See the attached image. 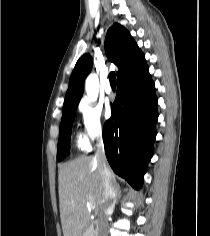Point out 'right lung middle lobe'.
Listing matches in <instances>:
<instances>
[{
  "mask_svg": "<svg viewBox=\"0 0 210 236\" xmlns=\"http://www.w3.org/2000/svg\"><path fill=\"white\" fill-rule=\"evenodd\" d=\"M75 110H67L62 114L61 126H60V137L57 147L58 161H61L69 154V142L71 136V129L74 120Z\"/></svg>",
  "mask_w": 210,
  "mask_h": 236,
  "instance_id": "obj_1",
  "label": "right lung middle lobe"
}]
</instances>
